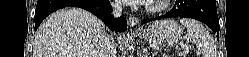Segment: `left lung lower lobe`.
<instances>
[{
    "label": "left lung lower lobe",
    "mask_w": 249,
    "mask_h": 57,
    "mask_svg": "<svg viewBox=\"0 0 249 57\" xmlns=\"http://www.w3.org/2000/svg\"><path fill=\"white\" fill-rule=\"evenodd\" d=\"M166 17H187L199 20L217 33L218 39L220 26L215 0H176V5L170 12L159 17L144 19L141 24Z\"/></svg>",
    "instance_id": "1"
}]
</instances>
